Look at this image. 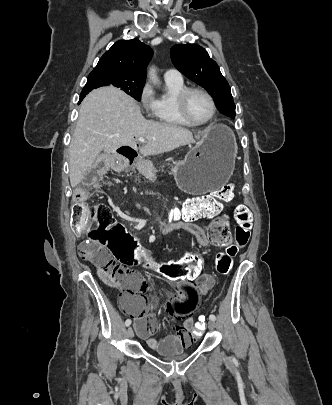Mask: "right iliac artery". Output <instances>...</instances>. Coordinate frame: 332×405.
I'll return each mask as SVG.
<instances>
[{"instance_id":"obj_1","label":"right iliac artery","mask_w":332,"mask_h":405,"mask_svg":"<svg viewBox=\"0 0 332 405\" xmlns=\"http://www.w3.org/2000/svg\"><path fill=\"white\" fill-rule=\"evenodd\" d=\"M131 324V319H127L126 321H125V326H129Z\"/></svg>"}]
</instances>
